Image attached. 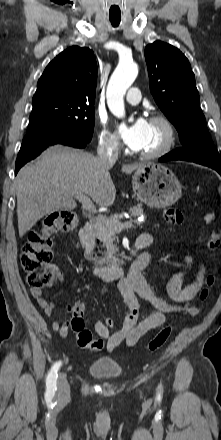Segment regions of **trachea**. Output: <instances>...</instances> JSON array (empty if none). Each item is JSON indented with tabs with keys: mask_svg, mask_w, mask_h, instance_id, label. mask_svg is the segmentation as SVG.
<instances>
[{
	"mask_svg": "<svg viewBox=\"0 0 221 440\" xmlns=\"http://www.w3.org/2000/svg\"><path fill=\"white\" fill-rule=\"evenodd\" d=\"M111 24L116 27L120 23V18L110 17Z\"/></svg>",
	"mask_w": 221,
	"mask_h": 440,
	"instance_id": "1",
	"label": "trachea"
}]
</instances>
